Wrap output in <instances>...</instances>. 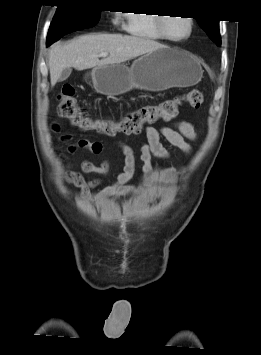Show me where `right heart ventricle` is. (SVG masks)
<instances>
[{
  "mask_svg": "<svg viewBox=\"0 0 261 355\" xmlns=\"http://www.w3.org/2000/svg\"><path fill=\"white\" fill-rule=\"evenodd\" d=\"M126 18V29L131 35L151 40H164L158 28V17L154 14L129 12Z\"/></svg>",
  "mask_w": 261,
  "mask_h": 355,
  "instance_id": "right-heart-ventricle-1",
  "label": "right heart ventricle"
}]
</instances>
